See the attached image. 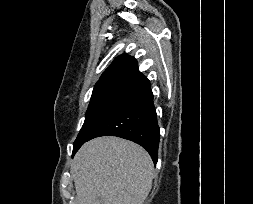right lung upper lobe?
Listing matches in <instances>:
<instances>
[{
    "mask_svg": "<svg viewBox=\"0 0 253 204\" xmlns=\"http://www.w3.org/2000/svg\"><path fill=\"white\" fill-rule=\"evenodd\" d=\"M145 76L139 72L135 58L122 54L115 58L110 66L103 72L94 88L118 82L140 83Z\"/></svg>",
    "mask_w": 253,
    "mask_h": 204,
    "instance_id": "1",
    "label": "right lung upper lobe"
}]
</instances>
